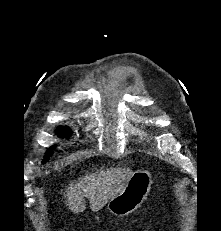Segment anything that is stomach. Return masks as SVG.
<instances>
[{
	"label": "stomach",
	"mask_w": 221,
	"mask_h": 231,
	"mask_svg": "<svg viewBox=\"0 0 221 231\" xmlns=\"http://www.w3.org/2000/svg\"><path fill=\"white\" fill-rule=\"evenodd\" d=\"M152 183L149 171L134 172L122 192L108 202V210L119 217L134 212L146 199Z\"/></svg>",
	"instance_id": "1"
}]
</instances>
